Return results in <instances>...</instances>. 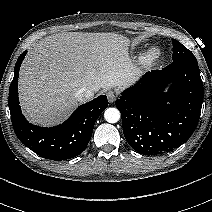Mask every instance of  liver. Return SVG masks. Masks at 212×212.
<instances>
[{
  "label": "liver",
  "instance_id": "6515ba94",
  "mask_svg": "<svg viewBox=\"0 0 212 212\" xmlns=\"http://www.w3.org/2000/svg\"><path fill=\"white\" fill-rule=\"evenodd\" d=\"M128 39L114 33L66 32L48 36L29 51L19 75V99L34 124H58L78 106L80 88L124 89L136 77Z\"/></svg>",
  "mask_w": 212,
  "mask_h": 212
}]
</instances>
